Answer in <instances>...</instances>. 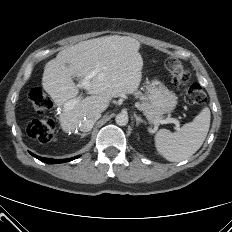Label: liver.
Returning a JSON list of instances; mask_svg holds the SVG:
<instances>
[{"label":"liver","instance_id":"6515ba94","mask_svg":"<svg viewBox=\"0 0 232 232\" xmlns=\"http://www.w3.org/2000/svg\"><path fill=\"white\" fill-rule=\"evenodd\" d=\"M139 48L140 42L134 38L103 36L64 49L46 63L42 86L57 106L79 94L73 76L85 78L92 71H97L89 86L83 87L90 96L60 114L59 121L64 132H74L88 115L104 112L112 98L138 89L143 67Z\"/></svg>","mask_w":232,"mask_h":232}]
</instances>
